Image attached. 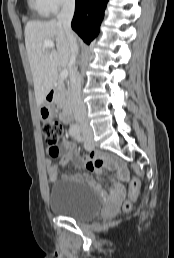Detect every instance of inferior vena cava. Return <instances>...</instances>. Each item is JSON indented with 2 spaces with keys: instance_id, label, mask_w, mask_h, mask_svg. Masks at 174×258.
<instances>
[{
  "instance_id": "inferior-vena-cava-1",
  "label": "inferior vena cava",
  "mask_w": 174,
  "mask_h": 258,
  "mask_svg": "<svg viewBox=\"0 0 174 258\" xmlns=\"http://www.w3.org/2000/svg\"><path fill=\"white\" fill-rule=\"evenodd\" d=\"M75 11V0H64L62 9L57 16L58 24L61 25L67 35L70 50V103L77 123L83 133L91 132L88 121L86 120V107L81 98V76L76 66V56L79 52L76 38L71 29V21Z\"/></svg>"
}]
</instances>
